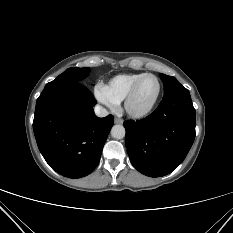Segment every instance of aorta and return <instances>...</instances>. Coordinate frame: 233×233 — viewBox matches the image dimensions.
I'll return each mask as SVG.
<instances>
[{"mask_svg":"<svg viewBox=\"0 0 233 233\" xmlns=\"http://www.w3.org/2000/svg\"><path fill=\"white\" fill-rule=\"evenodd\" d=\"M125 128L122 125H114L111 129V135L115 139H122L125 137Z\"/></svg>","mask_w":233,"mask_h":233,"instance_id":"1","label":"aorta"}]
</instances>
